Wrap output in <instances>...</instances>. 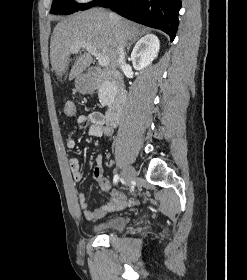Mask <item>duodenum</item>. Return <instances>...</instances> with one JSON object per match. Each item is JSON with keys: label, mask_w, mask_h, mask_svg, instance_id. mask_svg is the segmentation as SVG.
<instances>
[{"label": "duodenum", "mask_w": 247, "mask_h": 280, "mask_svg": "<svg viewBox=\"0 0 247 280\" xmlns=\"http://www.w3.org/2000/svg\"><path fill=\"white\" fill-rule=\"evenodd\" d=\"M85 87L87 90H95L105 80L113 86V98L105 114L106 122L110 126L119 123L126 101V91L121 83V76L117 73H106L98 68H90L86 74Z\"/></svg>", "instance_id": "obj_1"}]
</instances>
